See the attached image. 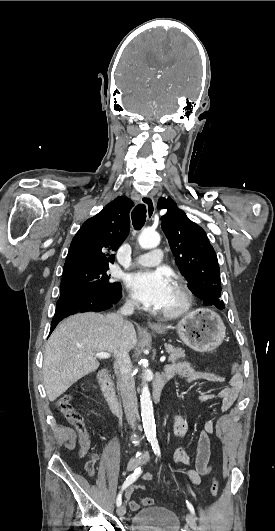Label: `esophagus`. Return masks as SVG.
<instances>
[{
  "instance_id": "1",
  "label": "esophagus",
  "mask_w": 275,
  "mask_h": 531,
  "mask_svg": "<svg viewBox=\"0 0 275 531\" xmlns=\"http://www.w3.org/2000/svg\"><path fill=\"white\" fill-rule=\"evenodd\" d=\"M142 201L145 203L146 208H147V217H148L149 220H151L153 218L154 212H155V201H154V198L152 196H145V197L142 198ZM147 326L150 327V328H155V327L158 326V324L152 323V322H148Z\"/></svg>"
}]
</instances>
